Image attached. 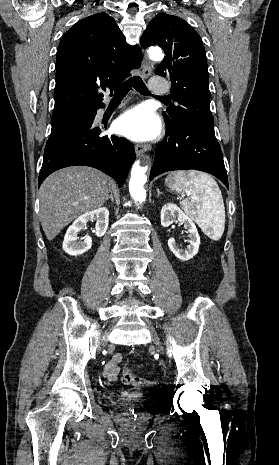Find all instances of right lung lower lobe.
I'll return each mask as SVG.
<instances>
[{"instance_id": "obj_1", "label": "right lung lower lobe", "mask_w": 279, "mask_h": 465, "mask_svg": "<svg viewBox=\"0 0 279 465\" xmlns=\"http://www.w3.org/2000/svg\"><path fill=\"white\" fill-rule=\"evenodd\" d=\"M99 103L82 115L84 122L78 130L67 135L52 149L45 151L38 179L39 185L52 172L72 166L86 165L97 168L114 178L121 187L135 160L133 144L125 138L101 134L107 125L94 123Z\"/></svg>"}]
</instances>
